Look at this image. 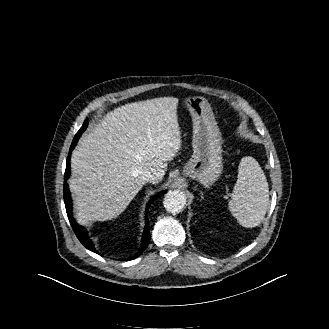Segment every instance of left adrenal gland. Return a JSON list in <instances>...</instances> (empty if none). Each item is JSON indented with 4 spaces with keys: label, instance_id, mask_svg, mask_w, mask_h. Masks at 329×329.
Returning <instances> with one entry per match:
<instances>
[{
    "label": "left adrenal gland",
    "instance_id": "left-adrenal-gland-1",
    "mask_svg": "<svg viewBox=\"0 0 329 329\" xmlns=\"http://www.w3.org/2000/svg\"><path fill=\"white\" fill-rule=\"evenodd\" d=\"M200 194H201V199H204L202 191H200Z\"/></svg>",
    "mask_w": 329,
    "mask_h": 329
}]
</instances>
